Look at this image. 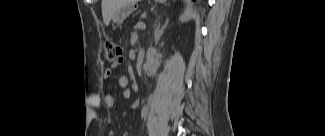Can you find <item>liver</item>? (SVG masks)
<instances>
[{
    "mask_svg": "<svg viewBox=\"0 0 325 136\" xmlns=\"http://www.w3.org/2000/svg\"><path fill=\"white\" fill-rule=\"evenodd\" d=\"M134 2L130 0H102L101 6L104 24L108 26L116 11L124 5Z\"/></svg>",
    "mask_w": 325,
    "mask_h": 136,
    "instance_id": "1",
    "label": "liver"
}]
</instances>
